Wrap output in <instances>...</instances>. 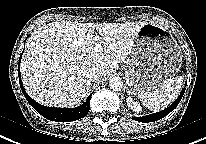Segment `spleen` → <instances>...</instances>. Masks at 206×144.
I'll return each instance as SVG.
<instances>
[{
    "instance_id": "1",
    "label": "spleen",
    "mask_w": 206,
    "mask_h": 144,
    "mask_svg": "<svg viewBox=\"0 0 206 144\" xmlns=\"http://www.w3.org/2000/svg\"><path fill=\"white\" fill-rule=\"evenodd\" d=\"M182 82V76L167 79L159 88L150 92L140 93V101L148 109L155 112L165 109L178 96Z\"/></svg>"
}]
</instances>
